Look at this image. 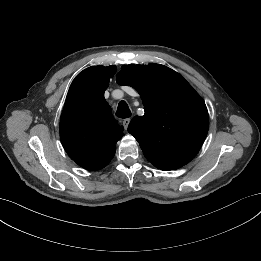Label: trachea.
<instances>
[{
	"instance_id": "obj_1",
	"label": "trachea",
	"mask_w": 261,
	"mask_h": 261,
	"mask_svg": "<svg viewBox=\"0 0 261 261\" xmlns=\"http://www.w3.org/2000/svg\"><path fill=\"white\" fill-rule=\"evenodd\" d=\"M116 116L119 118H128L131 116V111L125 101H120L116 111Z\"/></svg>"
}]
</instances>
